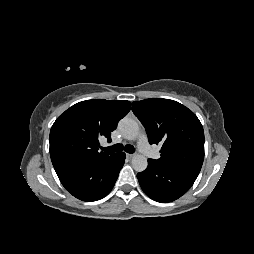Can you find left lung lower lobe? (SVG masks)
<instances>
[{"label": "left lung lower lobe", "instance_id": "1", "mask_svg": "<svg viewBox=\"0 0 254 254\" xmlns=\"http://www.w3.org/2000/svg\"><path fill=\"white\" fill-rule=\"evenodd\" d=\"M198 172L165 167L153 159H148V167L137 174L144 193L151 199L167 203L184 195L195 182Z\"/></svg>", "mask_w": 254, "mask_h": 254}]
</instances>
